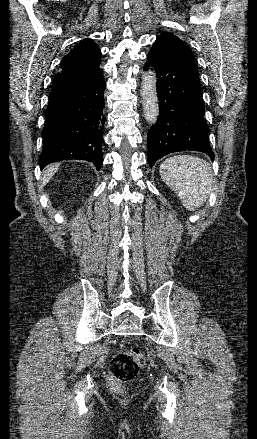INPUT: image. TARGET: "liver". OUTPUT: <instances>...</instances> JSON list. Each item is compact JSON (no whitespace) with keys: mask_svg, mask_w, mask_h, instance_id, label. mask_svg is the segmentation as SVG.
Returning a JSON list of instances; mask_svg holds the SVG:
<instances>
[{"mask_svg":"<svg viewBox=\"0 0 257 439\" xmlns=\"http://www.w3.org/2000/svg\"><path fill=\"white\" fill-rule=\"evenodd\" d=\"M57 169H58V165H51L46 168L43 175V182H42L43 185H45L51 179V177L55 174Z\"/></svg>","mask_w":257,"mask_h":439,"instance_id":"1","label":"liver"}]
</instances>
